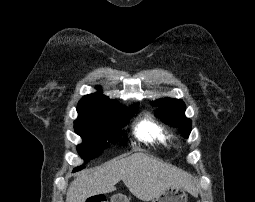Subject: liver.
<instances>
[{
	"label": "liver",
	"instance_id": "6515ba94",
	"mask_svg": "<svg viewBox=\"0 0 255 202\" xmlns=\"http://www.w3.org/2000/svg\"><path fill=\"white\" fill-rule=\"evenodd\" d=\"M121 180L142 201L154 200L172 186L190 193L196 191L195 182L187 172L142 153H135L110 161L74 179L67 190L66 202H85L91 196L115 191V185Z\"/></svg>",
	"mask_w": 255,
	"mask_h": 202
}]
</instances>
